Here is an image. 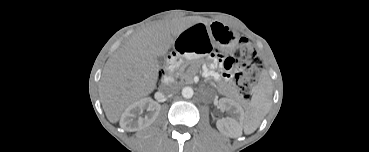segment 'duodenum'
<instances>
[{
  "label": "duodenum",
  "instance_id": "1",
  "mask_svg": "<svg viewBox=\"0 0 369 152\" xmlns=\"http://www.w3.org/2000/svg\"><path fill=\"white\" fill-rule=\"evenodd\" d=\"M174 57H171L170 60H172ZM172 72H173V66L170 64L167 69L164 72V75L162 77V82L165 84H169L172 81Z\"/></svg>",
  "mask_w": 369,
  "mask_h": 152
}]
</instances>
